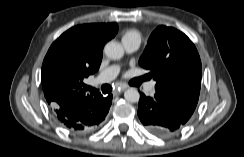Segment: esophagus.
<instances>
[{
  "label": "esophagus",
  "instance_id": "esophagus-1",
  "mask_svg": "<svg viewBox=\"0 0 244 157\" xmlns=\"http://www.w3.org/2000/svg\"><path fill=\"white\" fill-rule=\"evenodd\" d=\"M127 87L125 85H120L116 89L113 90L112 94L113 95H118L122 93Z\"/></svg>",
  "mask_w": 244,
  "mask_h": 157
}]
</instances>
